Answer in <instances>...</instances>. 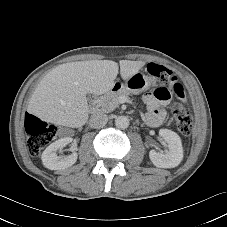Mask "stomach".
Returning <instances> with one entry per match:
<instances>
[{"instance_id": "0dacf381", "label": "stomach", "mask_w": 227, "mask_h": 227, "mask_svg": "<svg viewBox=\"0 0 227 227\" xmlns=\"http://www.w3.org/2000/svg\"><path fill=\"white\" fill-rule=\"evenodd\" d=\"M155 83V78L145 75L142 72H137L125 81L124 84L117 83L113 88L125 89L132 94H139L148 90Z\"/></svg>"}]
</instances>
